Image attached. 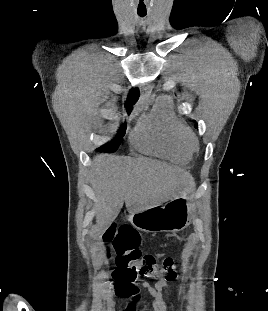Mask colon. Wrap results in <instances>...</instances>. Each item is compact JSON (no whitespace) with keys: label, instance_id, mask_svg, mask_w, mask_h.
Returning a JSON list of instances; mask_svg holds the SVG:
<instances>
[{"label":"colon","instance_id":"obj_1","mask_svg":"<svg viewBox=\"0 0 268 311\" xmlns=\"http://www.w3.org/2000/svg\"><path fill=\"white\" fill-rule=\"evenodd\" d=\"M107 255L115 254L116 268L112 272L115 290L123 297L137 291L138 278H165L176 276L177 264L172 258L164 259L161 267L152 254H143L139 249L141 238L136 230L127 226L111 225L104 233Z\"/></svg>","mask_w":268,"mask_h":311}]
</instances>
